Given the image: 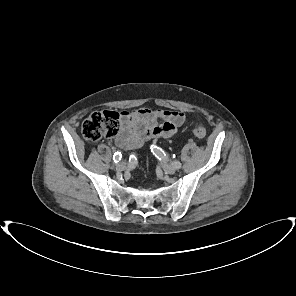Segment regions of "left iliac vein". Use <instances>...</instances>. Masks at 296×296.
Returning <instances> with one entry per match:
<instances>
[{
  "instance_id": "obj_1",
  "label": "left iliac vein",
  "mask_w": 296,
  "mask_h": 296,
  "mask_svg": "<svg viewBox=\"0 0 296 296\" xmlns=\"http://www.w3.org/2000/svg\"><path fill=\"white\" fill-rule=\"evenodd\" d=\"M161 166H162L164 172L167 173V174H174L176 172V170H177L176 167L165 164V163H162Z\"/></svg>"
}]
</instances>
